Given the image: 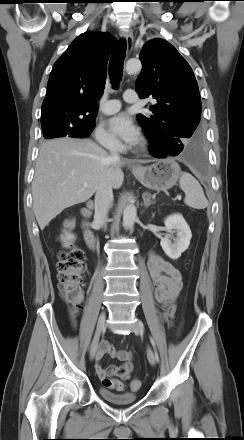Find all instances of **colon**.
Instances as JSON below:
<instances>
[{"label":"colon","mask_w":244,"mask_h":440,"mask_svg":"<svg viewBox=\"0 0 244 440\" xmlns=\"http://www.w3.org/2000/svg\"><path fill=\"white\" fill-rule=\"evenodd\" d=\"M57 271L60 295L70 307L71 315H75L83 300L81 286L86 271L84 252L74 246L63 249L58 255ZM102 385L107 389L117 391L125 389L124 382L114 377H105ZM130 386L133 391H136L140 388L141 382L133 379Z\"/></svg>","instance_id":"1"}]
</instances>
